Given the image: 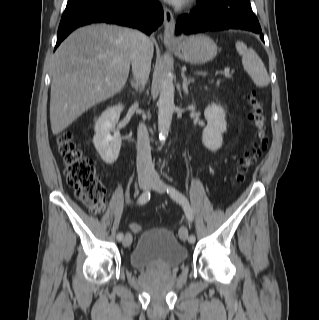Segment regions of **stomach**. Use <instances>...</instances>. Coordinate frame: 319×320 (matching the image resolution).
Here are the masks:
<instances>
[{
    "label": "stomach",
    "mask_w": 319,
    "mask_h": 320,
    "mask_svg": "<svg viewBox=\"0 0 319 320\" xmlns=\"http://www.w3.org/2000/svg\"><path fill=\"white\" fill-rule=\"evenodd\" d=\"M173 49L180 59L192 64L207 63L216 57L218 51L216 43L203 34L180 38Z\"/></svg>",
    "instance_id": "1"
}]
</instances>
